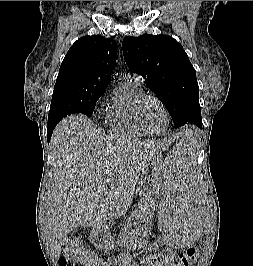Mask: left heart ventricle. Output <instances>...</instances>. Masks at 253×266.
I'll use <instances>...</instances> for the list:
<instances>
[{
  "instance_id": "left-heart-ventricle-1",
  "label": "left heart ventricle",
  "mask_w": 253,
  "mask_h": 266,
  "mask_svg": "<svg viewBox=\"0 0 253 266\" xmlns=\"http://www.w3.org/2000/svg\"><path fill=\"white\" fill-rule=\"evenodd\" d=\"M140 116L145 128L151 132H162L166 126L165 114L154 100H147L143 103Z\"/></svg>"
}]
</instances>
